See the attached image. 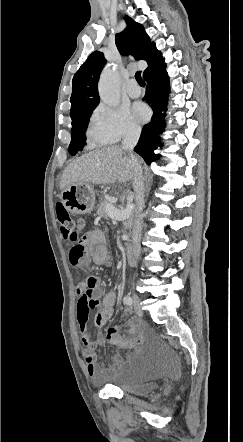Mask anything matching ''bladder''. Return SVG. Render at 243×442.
Masks as SVG:
<instances>
[{"label": "bladder", "instance_id": "31cf9c89", "mask_svg": "<svg viewBox=\"0 0 243 442\" xmlns=\"http://www.w3.org/2000/svg\"><path fill=\"white\" fill-rule=\"evenodd\" d=\"M155 362L141 353H132L121 360L107 385L133 395H146L157 388Z\"/></svg>", "mask_w": 243, "mask_h": 442}]
</instances>
